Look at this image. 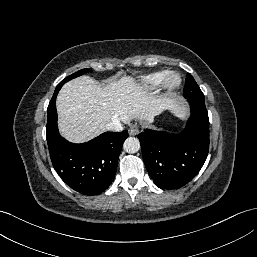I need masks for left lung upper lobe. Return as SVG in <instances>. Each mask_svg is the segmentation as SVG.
Wrapping results in <instances>:
<instances>
[{
	"instance_id": "obj_1",
	"label": "left lung upper lobe",
	"mask_w": 257,
	"mask_h": 257,
	"mask_svg": "<svg viewBox=\"0 0 257 257\" xmlns=\"http://www.w3.org/2000/svg\"><path fill=\"white\" fill-rule=\"evenodd\" d=\"M183 93L186 99L204 100V94L202 93L201 89L199 88L192 75L189 73L187 74Z\"/></svg>"
}]
</instances>
